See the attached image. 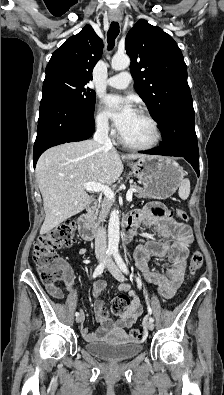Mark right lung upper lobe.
<instances>
[{"label":"right lung upper lobe","instance_id":"cb5924a9","mask_svg":"<svg viewBox=\"0 0 224 395\" xmlns=\"http://www.w3.org/2000/svg\"><path fill=\"white\" fill-rule=\"evenodd\" d=\"M102 51V40L90 25H86L52 54L46 76L62 74L88 83Z\"/></svg>","mask_w":224,"mask_h":395}]
</instances>
